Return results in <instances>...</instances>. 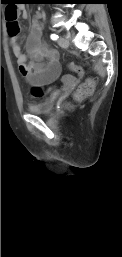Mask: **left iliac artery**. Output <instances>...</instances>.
Wrapping results in <instances>:
<instances>
[{"mask_svg": "<svg viewBox=\"0 0 122 257\" xmlns=\"http://www.w3.org/2000/svg\"><path fill=\"white\" fill-rule=\"evenodd\" d=\"M50 38H51L52 40H57V39H58V35L55 34V33H53V34L50 35Z\"/></svg>", "mask_w": 122, "mask_h": 257, "instance_id": "obj_1", "label": "left iliac artery"}]
</instances>
